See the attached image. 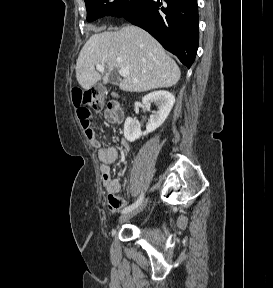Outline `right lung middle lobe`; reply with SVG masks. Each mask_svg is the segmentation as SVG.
<instances>
[{"instance_id": "1", "label": "right lung middle lobe", "mask_w": 273, "mask_h": 288, "mask_svg": "<svg viewBox=\"0 0 273 288\" xmlns=\"http://www.w3.org/2000/svg\"><path fill=\"white\" fill-rule=\"evenodd\" d=\"M87 9V21L91 22L103 16L122 17L130 11L138 0H84Z\"/></svg>"}]
</instances>
